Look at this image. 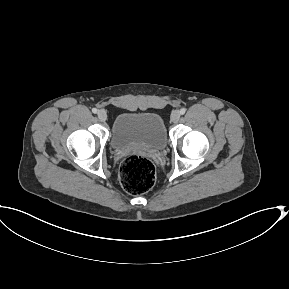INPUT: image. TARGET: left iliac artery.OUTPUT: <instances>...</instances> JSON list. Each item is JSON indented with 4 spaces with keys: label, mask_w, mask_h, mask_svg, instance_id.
<instances>
[{
    "label": "left iliac artery",
    "mask_w": 289,
    "mask_h": 289,
    "mask_svg": "<svg viewBox=\"0 0 289 289\" xmlns=\"http://www.w3.org/2000/svg\"><path fill=\"white\" fill-rule=\"evenodd\" d=\"M185 112H186V109H185V108H182V109L180 110V114H181V115L185 114Z\"/></svg>",
    "instance_id": "obj_1"
}]
</instances>
